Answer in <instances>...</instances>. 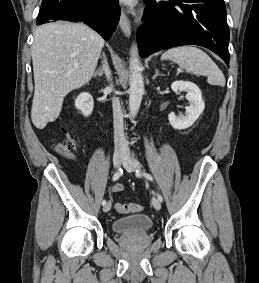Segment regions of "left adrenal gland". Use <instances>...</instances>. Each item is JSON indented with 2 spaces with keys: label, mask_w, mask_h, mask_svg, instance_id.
I'll return each mask as SVG.
<instances>
[{
  "label": "left adrenal gland",
  "mask_w": 259,
  "mask_h": 283,
  "mask_svg": "<svg viewBox=\"0 0 259 283\" xmlns=\"http://www.w3.org/2000/svg\"><path fill=\"white\" fill-rule=\"evenodd\" d=\"M158 75H162L159 73V70H155V74L153 75L152 79H155Z\"/></svg>",
  "instance_id": "1"
}]
</instances>
